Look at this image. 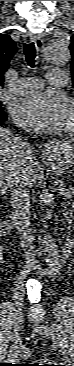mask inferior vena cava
<instances>
[{"label": "inferior vena cava", "instance_id": "602c4592", "mask_svg": "<svg viewBox=\"0 0 74 366\" xmlns=\"http://www.w3.org/2000/svg\"><path fill=\"white\" fill-rule=\"evenodd\" d=\"M21 149L26 154L27 159L31 155L30 144L21 139ZM29 184L21 166L10 179V203L13 208V224L19 231L20 245L25 251L27 263L34 261L35 253L33 247L34 237L31 235L32 228L30 223V196ZM24 273V272H23ZM23 285L16 284L14 296L19 299L22 296Z\"/></svg>", "mask_w": 74, "mask_h": 366}]
</instances>
